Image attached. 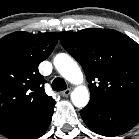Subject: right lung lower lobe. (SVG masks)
<instances>
[{
    "mask_svg": "<svg viewBox=\"0 0 139 139\" xmlns=\"http://www.w3.org/2000/svg\"><path fill=\"white\" fill-rule=\"evenodd\" d=\"M55 102L32 119L2 133L8 139H37L47 130L54 110Z\"/></svg>",
    "mask_w": 139,
    "mask_h": 139,
    "instance_id": "right-lung-lower-lobe-1",
    "label": "right lung lower lobe"
}]
</instances>
